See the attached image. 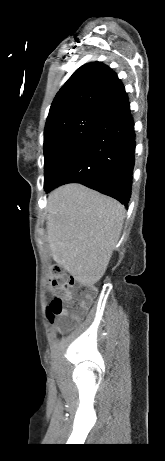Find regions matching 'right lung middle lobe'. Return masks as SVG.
Instances as JSON below:
<instances>
[{
	"label": "right lung middle lobe",
	"mask_w": 165,
	"mask_h": 461,
	"mask_svg": "<svg viewBox=\"0 0 165 461\" xmlns=\"http://www.w3.org/2000/svg\"><path fill=\"white\" fill-rule=\"evenodd\" d=\"M103 121L93 115H81L56 119L45 126L44 186L48 185L64 162Z\"/></svg>",
	"instance_id": "obj_1"
}]
</instances>
